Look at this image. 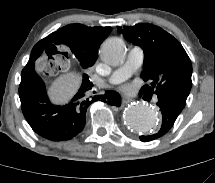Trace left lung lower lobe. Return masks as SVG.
<instances>
[{
	"label": "left lung lower lobe",
	"mask_w": 215,
	"mask_h": 183,
	"mask_svg": "<svg viewBox=\"0 0 215 183\" xmlns=\"http://www.w3.org/2000/svg\"><path fill=\"white\" fill-rule=\"evenodd\" d=\"M141 93V92H140ZM158 100L156 105L160 108L162 113V126L157 134L150 136H141L140 140L143 142L151 141L157 139L164 135L173 126L176 118L181 113L183 108L173 99L166 96H157Z\"/></svg>",
	"instance_id": "left-lung-lower-lobe-1"
}]
</instances>
